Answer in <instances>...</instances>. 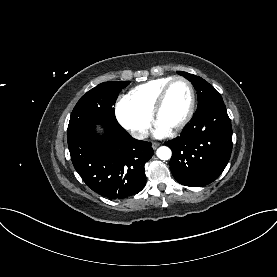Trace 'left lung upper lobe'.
<instances>
[{"label":"left lung upper lobe","mask_w":277,"mask_h":277,"mask_svg":"<svg viewBox=\"0 0 277 277\" xmlns=\"http://www.w3.org/2000/svg\"><path fill=\"white\" fill-rule=\"evenodd\" d=\"M177 73L188 79L196 89L198 96L197 111L202 109L204 106L211 103L212 101L222 98L221 95L214 89V87L201 77L182 71H179Z\"/></svg>","instance_id":"left-lung-upper-lobe-1"}]
</instances>
